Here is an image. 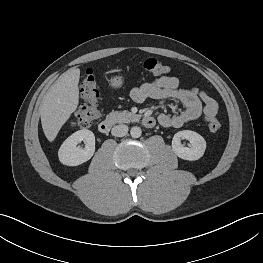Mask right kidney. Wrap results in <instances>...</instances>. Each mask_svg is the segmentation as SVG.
Segmentation results:
<instances>
[{
  "mask_svg": "<svg viewBox=\"0 0 263 263\" xmlns=\"http://www.w3.org/2000/svg\"><path fill=\"white\" fill-rule=\"evenodd\" d=\"M82 141L85 148L77 146ZM95 151V136L92 131L83 129L73 133L61 145L58 157L62 164L77 166L88 161Z\"/></svg>",
  "mask_w": 263,
  "mask_h": 263,
  "instance_id": "right-kidney-1",
  "label": "right kidney"
}]
</instances>
